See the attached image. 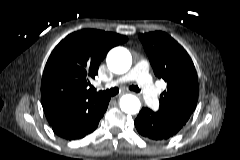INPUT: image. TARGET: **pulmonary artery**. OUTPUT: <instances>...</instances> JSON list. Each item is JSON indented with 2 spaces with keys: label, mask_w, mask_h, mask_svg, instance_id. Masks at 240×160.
I'll return each instance as SVG.
<instances>
[{
  "label": "pulmonary artery",
  "mask_w": 240,
  "mask_h": 160,
  "mask_svg": "<svg viewBox=\"0 0 240 160\" xmlns=\"http://www.w3.org/2000/svg\"><path fill=\"white\" fill-rule=\"evenodd\" d=\"M149 63L148 61L141 59L135 63L132 69L124 76L119 79L114 80L110 85H119L123 83H128L131 81H136L141 88L143 97L148 105L152 108H157L159 105L158 101V91L156 86L151 80L148 73Z\"/></svg>",
  "instance_id": "e3ab8cb5"
}]
</instances>
